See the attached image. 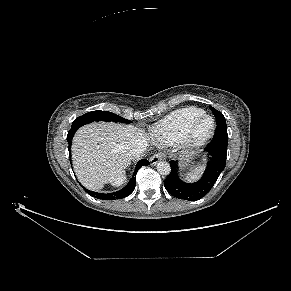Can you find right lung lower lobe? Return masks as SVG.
Here are the masks:
<instances>
[{
  "label": "right lung lower lobe",
  "instance_id": "1",
  "mask_svg": "<svg viewBox=\"0 0 291 291\" xmlns=\"http://www.w3.org/2000/svg\"><path fill=\"white\" fill-rule=\"evenodd\" d=\"M79 127H81V126L76 125V124H72V127H71L70 131L68 132L67 140H68V144H69V149H70L72 137H73L75 131ZM144 165H149V161L146 159L140 160L137 164L136 170L134 171V174H133L131 180L129 181V183L123 189H121L117 192L104 194V193L93 192V191L87 190L85 188L84 189L88 194H90L93 197L98 198V199L115 200V199L125 198L126 196L130 195L134 191L135 183H136V179H135L136 173H137L138 169Z\"/></svg>",
  "mask_w": 291,
  "mask_h": 291
}]
</instances>
